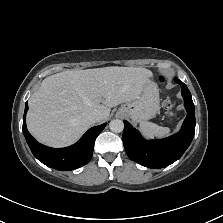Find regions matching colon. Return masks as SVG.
I'll return each instance as SVG.
<instances>
[{"instance_id": "obj_1", "label": "colon", "mask_w": 223, "mask_h": 223, "mask_svg": "<svg viewBox=\"0 0 223 223\" xmlns=\"http://www.w3.org/2000/svg\"><path fill=\"white\" fill-rule=\"evenodd\" d=\"M161 81H163V79H161ZM163 106H164V108L166 109V111H167V113H168V116L170 117V118H172V116H173V104H172V102H171V100L170 99H166L164 102H163Z\"/></svg>"}]
</instances>
